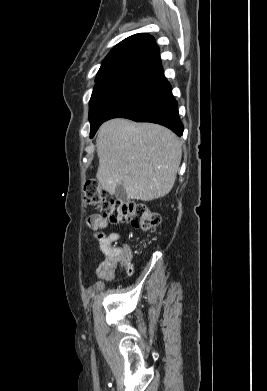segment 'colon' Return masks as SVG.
<instances>
[{
    "instance_id": "colon-1",
    "label": "colon",
    "mask_w": 267,
    "mask_h": 391,
    "mask_svg": "<svg viewBox=\"0 0 267 391\" xmlns=\"http://www.w3.org/2000/svg\"><path fill=\"white\" fill-rule=\"evenodd\" d=\"M83 202L88 207L99 210L108 222L113 224H130L135 229L149 233L160 224L159 215L146 204L138 202H123L109 198L101 185L95 180H89L83 188ZM124 269H130L131 257L124 254L119 259Z\"/></svg>"
}]
</instances>
